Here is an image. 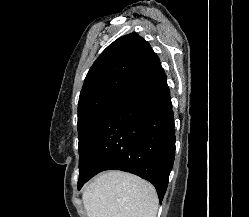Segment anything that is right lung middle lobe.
Here are the masks:
<instances>
[{"mask_svg":"<svg viewBox=\"0 0 249 217\" xmlns=\"http://www.w3.org/2000/svg\"><path fill=\"white\" fill-rule=\"evenodd\" d=\"M124 93L121 91L105 92L78 105L79 164L94 131Z\"/></svg>","mask_w":249,"mask_h":217,"instance_id":"1","label":"right lung middle lobe"}]
</instances>
